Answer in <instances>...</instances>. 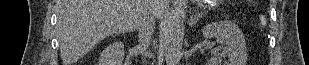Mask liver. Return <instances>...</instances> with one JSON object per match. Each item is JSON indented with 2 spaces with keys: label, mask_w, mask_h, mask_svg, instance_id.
Listing matches in <instances>:
<instances>
[{
  "label": "liver",
  "mask_w": 309,
  "mask_h": 65,
  "mask_svg": "<svg viewBox=\"0 0 309 65\" xmlns=\"http://www.w3.org/2000/svg\"><path fill=\"white\" fill-rule=\"evenodd\" d=\"M154 0H57V33L63 65H72L99 41L135 31L143 15L160 17L166 2Z\"/></svg>",
  "instance_id": "6515ba94"
}]
</instances>
